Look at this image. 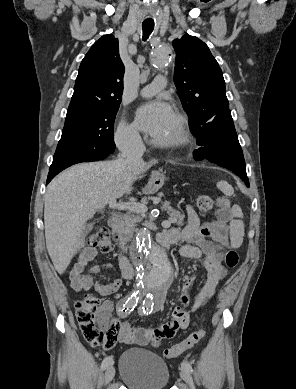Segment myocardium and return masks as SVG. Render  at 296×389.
Here are the masks:
<instances>
[{"instance_id": "1", "label": "myocardium", "mask_w": 296, "mask_h": 389, "mask_svg": "<svg viewBox=\"0 0 296 389\" xmlns=\"http://www.w3.org/2000/svg\"><path fill=\"white\" fill-rule=\"evenodd\" d=\"M176 131L173 137L169 139L153 140L154 144L163 148H175L184 145L189 140V133L187 128V120L181 113H175Z\"/></svg>"}]
</instances>
